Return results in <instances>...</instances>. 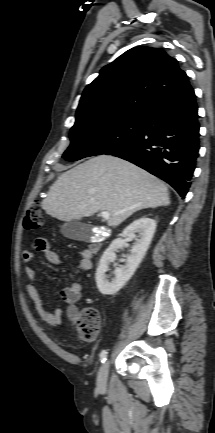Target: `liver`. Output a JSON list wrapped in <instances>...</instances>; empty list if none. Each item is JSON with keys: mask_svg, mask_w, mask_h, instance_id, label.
Instances as JSON below:
<instances>
[{"mask_svg": "<svg viewBox=\"0 0 215 433\" xmlns=\"http://www.w3.org/2000/svg\"><path fill=\"white\" fill-rule=\"evenodd\" d=\"M169 204L168 188L161 180L126 160L104 154L64 172L50 187L42 208L67 222L107 211L109 226L117 227L138 210Z\"/></svg>", "mask_w": 215, "mask_h": 433, "instance_id": "liver-1", "label": "liver"}]
</instances>
